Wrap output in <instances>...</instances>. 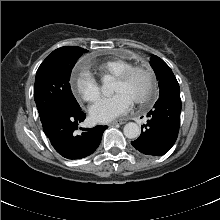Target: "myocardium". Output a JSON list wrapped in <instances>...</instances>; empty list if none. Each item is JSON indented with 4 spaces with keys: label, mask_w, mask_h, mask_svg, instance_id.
Instances as JSON below:
<instances>
[{
    "label": "myocardium",
    "mask_w": 220,
    "mask_h": 220,
    "mask_svg": "<svg viewBox=\"0 0 220 220\" xmlns=\"http://www.w3.org/2000/svg\"><path fill=\"white\" fill-rule=\"evenodd\" d=\"M137 73H143L146 76L148 85L145 94L141 98L135 100V102L139 105H145L155 98L157 91L154 73L147 65L138 64L131 66L117 77V81L127 82Z\"/></svg>",
    "instance_id": "1"
}]
</instances>
